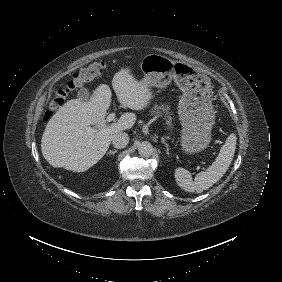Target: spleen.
Segmentation results:
<instances>
[{
  "instance_id": "obj_1",
  "label": "spleen",
  "mask_w": 282,
  "mask_h": 282,
  "mask_svg": "<svg viewBox=\"0 0 282 282\" xmlns=\"http://www.w3.org/2000/svg\"><path fill=\"white\" fill-rule=\"evenodd\" d=\"M236 140L235 134H230L212 165L206 171L198 173L194 181L188 170L177 168L175 170V179L178 185L187 192L196 191L197 193L210 188L228 170L235 154Z\"/></svg>"
}]
</instances>
